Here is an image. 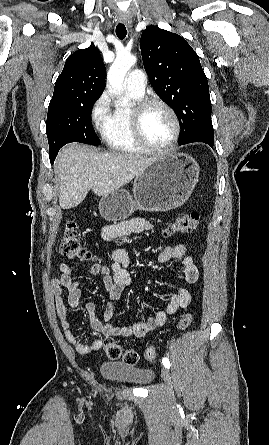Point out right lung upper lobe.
Returning <instances> with one entry per match:
<instances>
[{"mask_svg": "<svg viewBox=\"0 0 269 445\" xmlns=\"http://www.w3.org/2000/svg\"><path fill=\"white\" fill-rule=\"evenodd\" d=\"M106 68L97 47L70 55L56 80L52 100L100 97L105 89Z\"/></svg>", "mask_w": 269, "mask_h": 445, "instance_id": "1", "label": "right lung upper lobe"}]
</instances>
